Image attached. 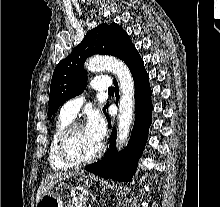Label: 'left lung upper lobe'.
I'll use <instances>...</instances> for the list:
<instances>
[{
  "mask_svg": "<svg viewBox=\"0 0 220 207\" xmlns=\"http://www.w3.org/2000/svg\"><path fill=\"white\" fill-rule=\"evenodd\" d=\"M133 48L126 31L116 23L101 24L90 30L54 70L50 85L48 118L50 119L64 102L82 93L87 81L83 64L89 56L113 55L125 61Z\"/></svg>",
  "mask_w": 220,
  "mask_h": 207,
  "instance_id": "1",
  "label": "left lung upper lobe"
}]
</instances>
